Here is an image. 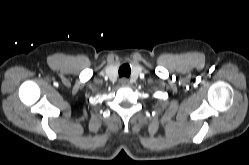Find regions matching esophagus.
Returning <instances> with one entry per match:
<instances>
[{
  "label": "esophagus",
  "mask_w": 249,
  "mask_h": 165,
  "mask_svg": "<svg viewBox=\"0 0 249 165\" xmlns=\"http://www.w3.org/2000/svg\"><path fill=\"white\" fill-rule=\"evenodd\" d=\"M120 83L123 86H128L129 85V80H128V78L123 77V78H121Z\"/></svg>",
  "instance_id": "obj_1"
}]
</instances>
